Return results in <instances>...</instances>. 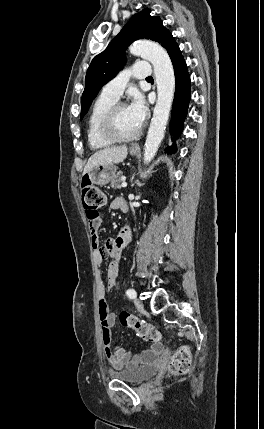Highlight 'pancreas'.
<instances>
[{"label": "pancreas", "instance_id": "pancreas-1", "mask_svg": "<svg viewBox=\"0 0 264 429\" xmlns=\"http://www.w3.org/2000/svg\"><path fill=\"white\" fill-rule=\"evenodd\" d=\"M123 172L119 171L117 175L111 180V187L114 189H120V182L122 181Z\"/></svg>", "mask_w": 264, "mask_h": 429}]
</instances>
